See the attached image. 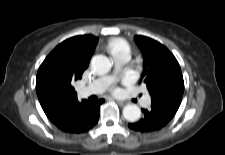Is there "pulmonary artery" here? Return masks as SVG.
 I'll return each mask as SVG.
<instances>
[{
  "label": "pulmonary artery",
  "mask_w": 225,
  "mask_h": 155,
  "mask_svg": "<svg viewBox=\"0 0 225 155\" xmlns=\"http://www.w3.org/2000/svg\"><path fill=\"white\" fill-rule=\"evenodd\" d=\"M112 59L114 62V73L111 75L102 76L92 82L90 85L83 87L80 90V95L83 97H87L92 94H100L107 90L109 86L113 83L116 74H118L123 66L129 61L130 53L128 49H122L112 54ZM151 103V99L149 96H145L142 99L141 104L145 107L149 106Z\"/></svg>",
  "instance_id": "1"
}]
</instances>
